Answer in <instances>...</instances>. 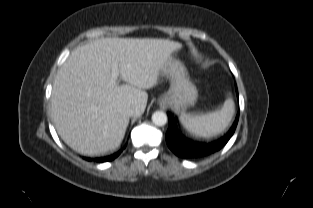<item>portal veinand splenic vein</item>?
Instances as JSON below:
<instances>
[{
    "mask_svg": "<svg viewBox=\"0 0 313 208\" xmlns=\"http://www.w3.org/2000/svg\"><path fill=\"white\" fill-rule=\"evenodd\" d=\"M112 68H113V71H114L113 78H115V76L117 75V61H114L112 63Z\"/></svg>",
    "mask_w": 313,
    "mask_h": 208,
    "instance_id": "1",
    "label": "portal vein and splenic vein"
}]
</instances>
